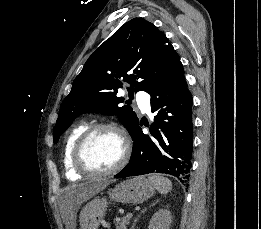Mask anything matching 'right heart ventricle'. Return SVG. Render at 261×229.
Listing matches in <instances>:
<instances>
[{"label": "right heart ventricle", "instance_id": "obj_1", "mask_svg": "<svg viewBox=\"0 0 261 229\" xmlns=\"http://www.w3.org/2000/svg\"><path fill=\"white\" fill-rule=\"evenodd\" d=\"M88 128L86 123L76 125L66 136L62 148V162L67 173L81 175L72 163L73 147L77 139Z\"/></svg>", "mask_w": 261, "mask_h": 229}]
</instances>
